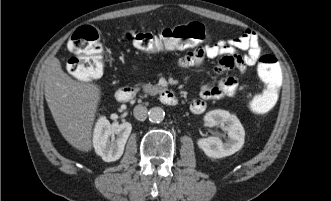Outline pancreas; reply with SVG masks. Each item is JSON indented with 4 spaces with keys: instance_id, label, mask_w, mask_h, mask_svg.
<instances>
[{
    "instance_id": "1",
    "label": "pancreas",
    "mask_w": 331,
    "mask_h": 201,
    "mask_svg": "<svg viewBox=\"0 0 331 201\" xmlns=\"http://www.w3.org/2000/svg\"><path fill=\"white\" fill-rule=\"evenodd\" d=\"M142 88L145 93L150 94V95H156L157 93H160L162 88L159 87L158 85H152V84H143ZM138 89V88H137Z\"/></svg>"
}]
</instances>
